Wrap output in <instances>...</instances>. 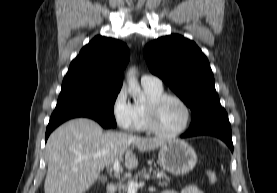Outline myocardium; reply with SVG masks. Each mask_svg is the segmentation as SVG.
<instances>
[{
	"label": "myocardium",
	"instance_id": "obj_1",
	"mask_svg": "<svg viewBox=\"0 0 277 193\" xmlns=\"http://www.w3.org/2000/svg\"><path fill=\"white\" fill-rule=\"evenodd\" d=\"M167 99H173L177 101L184 108L185 115H186L183 126L172 132H167L162 130L159 127L158 120H157L158 108ZM146 117H147L148 130L151 133L164 138H173L181 135L188 129L191 123L192 114H191V109L189 105L182 97L174 93H162L160 95H157L151 98L149 102L146 104Z\"/></svg>",
	"mask_w": 277,
	"mask_h": 193
}]
</instances>
